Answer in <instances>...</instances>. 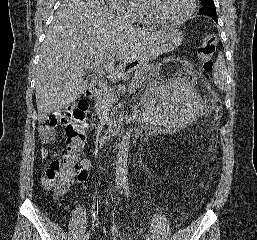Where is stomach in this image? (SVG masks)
<instances>
[{
  "mask_svg": "<svg viewBox=\"0 0 257 240\" xmlns=\"http://www.w3.org/2000/svg\"><path fill=\"white\" fill-rule=\"evenodd\" d=\"M184 35L180 29L168 26L164 29L163 35L155 44L141 57L139 64H144L148 60L176 49L183 41Z\"/></svg>",
  "mask_w": 257,
  "mask_h": 240,
  "instance_id": "1",
  "label": "stomach"
}]
</instances>
